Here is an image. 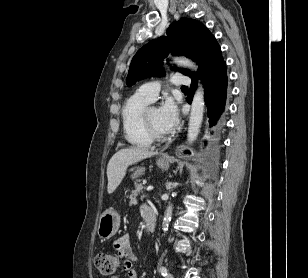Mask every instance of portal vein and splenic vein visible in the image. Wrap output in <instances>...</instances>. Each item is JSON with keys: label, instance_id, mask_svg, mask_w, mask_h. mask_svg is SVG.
<instances>
[{"label": "portal vein and splenic vein", "instance_id": "18ae733b", "mask_svg": "<svg viewBox=\"0 0 308 278\" xmlns=\"http://www.w3.org/2000/svg\"><path fill=\"white\" fill-rule=\"evenodd\" d=\"M151 190H153V186H148L147 191H151Z\"/></svg>", "mask_w": 308, "mask_h": 278}]
</instances>
